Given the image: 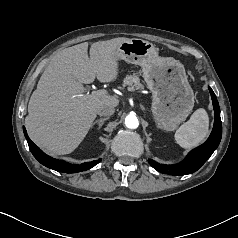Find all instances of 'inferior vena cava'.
I'll return each mask as SVG.
<instances>
[{"mask_svg": "<svg viewBox=\"0 0 238 238\" xmlns=\"http://www.w3.org/2000/svg\"><path fill=\"white\" fill-rule=\"evenodd\" d=\"M115 112V108L112 106L102 105L97 109V114L100 116H111Z\"/></svg>", "mask_w": 238, "mask_h": 238, "instance_id": "inferior-vena-cava-1", "label": "inferior vena cava"}]
</instances>
